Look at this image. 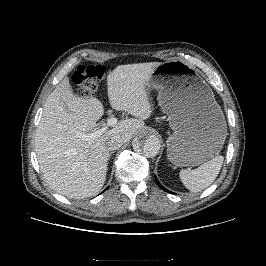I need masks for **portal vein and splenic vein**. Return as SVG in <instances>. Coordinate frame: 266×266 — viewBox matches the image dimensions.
Masks as SVG:
<instances>
[{"label": "portal vein and splenic vein", "instance_id": "18ae733b", "mask_svg": "<svg viewBox=\"0 0 266 266\" xmlns=\"http://www.w3.org/2000/svg\"><path fill=\"white\" fill-rule=\"evenodd\" d=\"M116 123H117V119L115 117H110L107 121V125L98 129L97 131L89 133V134L77 133V135L84 141H91L95 139L97 136L103 134L106 131L107 126L113 127L114 125H116Z\"/></svg>", "mask_w": 266, "mask_h": 266}]
</instances>
